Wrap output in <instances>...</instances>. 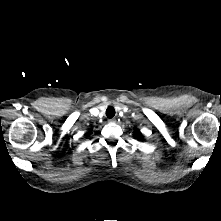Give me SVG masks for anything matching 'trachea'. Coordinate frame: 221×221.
Masks as SVG:
<instances>
[{"label": "trachea", "mask_w": 221, "mask_h": 221, "mask_svg": "<svg viewBox=\"0 0 221 221\" xmlns=\"http://www.w3.org/2000/svg\"><path fill=\"white\" fill-rule=\"evenodd\" d=\"M114 115H115V109L111 106L108 107L107 110H106V116L108 118H112V117H114Z\"/></svg>", "instance_id": "obj_1"}]
</instances>
